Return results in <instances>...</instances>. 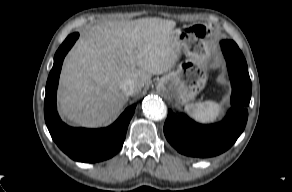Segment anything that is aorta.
Returning <instances> with one entry per match:
<instances>
[{
  "instance_id": "762f6f07",
  "label": "aorta",
  "mask_w": 292,
  "mask_h": 192,
  "mask_svg": "<svg viewBox=\"0 0 292 192\" xmlns=\"http://www.w3.org/2000/svg\"><path fill=\"white\" fill-rule=\"evenodd\" d=\"M144 113L153 120H161L166 115V108L162 99L157 96H148L142 102Z\"/></svg>"
}]
</instances>
